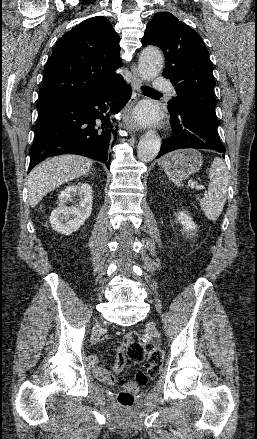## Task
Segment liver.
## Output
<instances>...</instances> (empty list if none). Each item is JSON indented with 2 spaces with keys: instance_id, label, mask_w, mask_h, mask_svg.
Segmentation results:
<instances>
[{
  "instance_id": "1",
  "label": "liver",
  "mask_w": 257,
  "mask_h": 439,
  "mask_svg": "<svg viewBox=\"0 0 257 439\" xmlns=\"http://www.w3.org/2000/svg\"><path fill=\"white\" fill-rule=\"evenodd\" d=\"M92 161L79 155H60L36 166L28 176V200L31 207L57 186L86 175Z\"/></svg>"
}]
</instances>
